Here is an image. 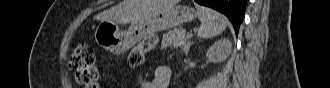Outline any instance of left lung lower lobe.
I'll return each mask as SVG.
<instances>
[{
	"label": "left lung lower lobe",
	"instance_id": "0a47b994",
	"mask_svg": "<svg viewBox=\"0 0 330 88\" xmlns=\"http://www.w3.org/2000/svg\"><path fill=\"white\" fill-rule=\"evenodd\" d=\"M197 3L211 7L225 14L232 22L236 34L244 19L246 0H195Z\"/></svg>",
	"mask_w": 330,
	"mask_h": 88
}]
</instances>
